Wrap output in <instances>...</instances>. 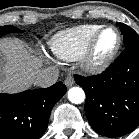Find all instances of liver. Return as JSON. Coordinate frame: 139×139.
I'll return each mask as SVG.
<instances>
[{
    "label": "liver",
    "instance_id": "liver-1",
    "mask_svg": "<svg viewBox=\"0 0 139 139\" xmlns=\"http://www.w3.org/2000/svg\"><path fill=\"white\" fill-rule=\"evenodd\" d=\"M41 66V60L21 40H0V92L16 93L29 88Z\"/></svg>",
    "mask_w": 139,
    "mask_h": 139
}]
</instances>
